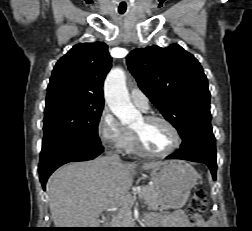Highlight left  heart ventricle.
I'll list each match as a JSON object with an SVG mask.
<instances>
[{"mask_svg":"<svg viewBox=\"0 0 252 231\" xmlns=\"http://www.w3.org/2000/svg\"><path fill=\"white\" fill-rule=\"evenodd\" d=\"M132 130L141 136L145 147L152 152H165L174 143L171 130L164 123L159 121L146 123L143 118H141L134 124Z\"/></svg>","mask_w":252,"mask_h":231,"instance_id":"left-heart-ventricle-1","label":"left heart ventricle"}]
</instances>
